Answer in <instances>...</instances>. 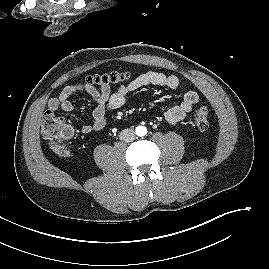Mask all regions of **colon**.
Here are the masks:
<instances>
[{"label": "colon", "instance_id": "5ec220e1", "mask_svg": "<svg viewBox=\"0 0 269 269\" xmlns=\"http://www.w3.org/2000/svg\"><path fill=\"white\" fill-rule=\"evenodd\" d=\"M130 72H112L100 76H91L83 81V84L111 86L129 80ZM194 125L199 131H206L209 127V111L205 106L199 107L194 114ZM66 124L61 117L46 112L42 120V134L50 140L58 152L64 153L65 147L62 140L66 137Z\"/></svg>", "mask_w": 269, "mask_h": 269}]
</instances>
